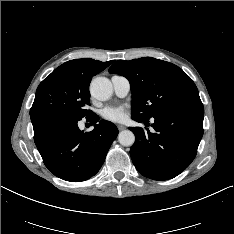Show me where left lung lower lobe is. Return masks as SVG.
Instances as JSON below:
<instances>
[{"label": "left lung lower lobe", "instance_id": "1", "mask_svg": "<svg viewBox=\"0 0 234 234\" xmlns=\"http://www.w3.org/2000/svg\"><path fill=\"white\" fill-rule=\"evenodd\" d=\"M153 118L154 133L140 127L129 128L135 134L130 155L143 176L171 179L184 171L196 156L203 136V104L201 101L185 104ZM132 119L140 123L146 120Z\"/></svg>", "mask_w": 234, "mask_h": 234}]
</instances>
